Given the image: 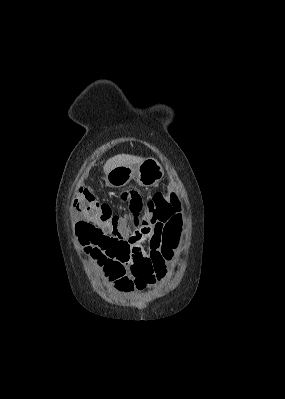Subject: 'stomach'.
Listing matches in <instances>:
<instances>
[{"mask_svg":"<svg viewBox=\"0 0 285 399\" xmlns=\"http://www.w3.org/2000/svg\"><path fill=\"white\" fill-rule=\"evenodd\" d=\"M164 176V169L155 158L144 159L137 166H117L110 170L105 177L106 185L120 188L135 179L140 186L157 185Z\"/></svg>","mask_w":285,"mask_h":399,"instance_id":"1","label":"stomach"}]
</instances>
